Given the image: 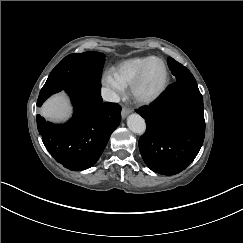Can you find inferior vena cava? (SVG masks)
<instances>
[{"label":"inferior vena cava","instance_id":"obj_1","mask_svg":"<svg viewBox=\"0 0 243 243\" xmlns=\"http://www.w3.org/2000/svg\"><path fill=\"white\" fill-rule=\"evenodd\" d=\"M101 95L105 101H109V102H119L120 101L119 96L110 88H102Z\"/></svg>","mask_w":243,"mask_h":243}]
</instances>
